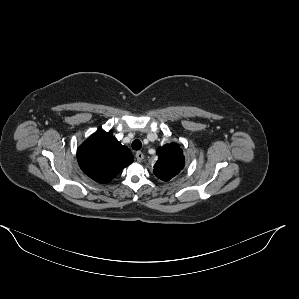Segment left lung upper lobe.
<instances>
[{"label": "left lung upper lobe", "mask_w": 299, "mask_h": 299, "mask_svg": "<svg viewBox=\"0 0 299 299\" xmlns=\"http://www.w3.org/2000/svg\"><path fill=\"white\" fill-rule=\"evenodd\" d=\"M158 160L153 173L163 181L176 176L185 165L184 155L177 144H165L157 149Z\"/></svg>", "instance_id": "left-lung-upper-lobe-1"}]
</instances>
